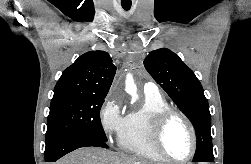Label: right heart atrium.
Returning a JSON list of instances; mask_svg holds the SVG:
<instances>
[{"label":"right heart atrium","mask_w":251,"mask_h":164,"mask_svg":"<svg viewBox=\"0 0 251 164\" xmlns=\"http://www.w3.org/2000/svg\"><path fill=\"white\" fill-rule=\"evenodd\" d=\"M99 119L108 138L119 136L125 120L121 102L115 98H108L100 110Z\"/></svg>","instance_id":"1"}]
</instances>
